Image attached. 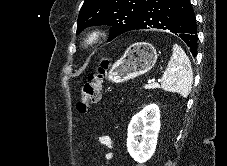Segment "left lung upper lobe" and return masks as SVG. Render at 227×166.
<instances>
[{
  "mask_svg": "<svg viewBox=\"0 0 227 166\" xmlns=\"http://www.w3.org/2000/svg\"><path fill=\"white\" fill-rule=\"evenodd\" d=\"M147 0H85L78 21L77 34L92 25L112 26L109 39L131 31Z\"/></svg>",
  "mask_w": 227,
  "mask_h": 166,
  "instance_id": "left-lung-upper-lobe-1",
  "label": "left lung upper lobe"
}]
</instances>
